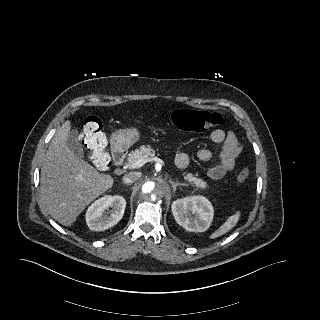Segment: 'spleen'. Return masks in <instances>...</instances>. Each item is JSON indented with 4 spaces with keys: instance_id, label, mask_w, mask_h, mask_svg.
Returning <instances> with one entry per match:
<instances>
[{
    "instance_id": "3e777b00",
    "label": "spleen",
    "mask_w": 320,
    "mask_h": 320,
    "mask_svg": "<svg viewBox=\"0 0 320 320\" xmlns=\"http://www.w3.org/2000/svg\"><path fill=\"white\" fill-rule=\"evenodd\" d=\"M240 218V212L237 211L233 215L229 216L227 220L215 231L210 235V239L218 238L227 232H229L231 229L235 227V225L238 223Z\"/></svg>"
}]
</instances>
